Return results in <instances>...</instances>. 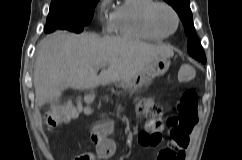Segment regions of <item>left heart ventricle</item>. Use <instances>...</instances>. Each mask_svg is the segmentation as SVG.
<instances>
[{
    "label": "left heart ventricle",
    "instance_id": "obj_1",
    "mask_svg": "<svg viewBox=\"0 0 242 160\" xmlns=\"http://www.w3.org/2000/svg\"><path fill=\"white\" fill-rule=\"evenodd\" d=\"M156 22L165 31H172L175 28V18L173 14L165 8H159L157 10Z\"/></svg>",
    "mask_w": 242,
    "mask_h": 160
}]
</instances>
